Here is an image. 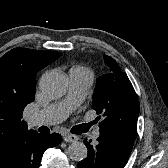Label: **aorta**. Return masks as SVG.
I'll list each match as a JSON object with an SVG mask.
<instances>
[{
	"label": "aorta",
	"mask_w": 168,
	"mask_h": 168,
	"mask_svg": "<svg viewBox=\"0 0 168 168\" xmlns=\"http://www.w3.org/2000/svg\"><path fill=\"white\" fill-rule=\"evenodd\" d=\"M40 90L42 93L51 99L61 97L67 90V77L58 71H49L40 79ZM68 156L74 161H82L87 157V147L84 143L75 141L68 147Z\"/></svg>",
	"instance_id": "obj_1"
}]
</instances>
